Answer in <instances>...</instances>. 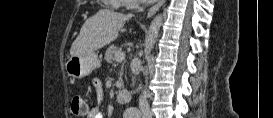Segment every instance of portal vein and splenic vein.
<instances>
[{"instance_id": "18ae733b", "label": "portal vein and splenic vein", "mask_w": 273, "mask_h": 118, "mask_svg": "<svg viewBox=\"0 0 273 118\" xmlns=\"http://www.w3.org/2000/svg\"><path fill=\"white\" fill-rule=\"evenodd\" d=\"M114 58H115V60H116L117 62H121V61L124 60L125 55H124L123 52L120 51V52H117V53L115 54Z\"/></svg>"}]
</instances>
